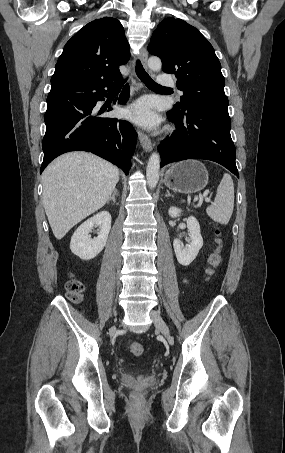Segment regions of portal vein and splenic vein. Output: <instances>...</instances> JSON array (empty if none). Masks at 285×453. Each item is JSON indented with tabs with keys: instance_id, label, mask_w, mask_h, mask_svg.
Segmentation results:
<instances>
[{
	"instance_id": "1",
	"label": "portal vein and splenic vein",
	"mask_w": 285,
	"mask_h": 453,
	"mask_svg": "<svg viewBox=\"0 0 285 453\" xmlns=\"http://www.w3.org/2000/svg\"><path fill=\"white\" fill-rule=\"evenodd\" d=\"M208 192H209V191L207 190V191L204 193V195H203V197L201 198V200L204 199L205 202H210V201H211V199L207 197Z\"/></svg>"
}]
</instances>
